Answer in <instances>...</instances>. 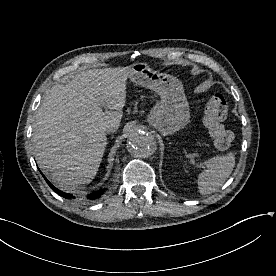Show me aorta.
<instances>
[{"mask_svg": "<svg viewBox=\"0 0 276 276\" xmlns=\"http://www.w3.org/2000/svg\"><path fill=\"white\" fill-rule=\"evenodd\" d=\"M155 137L144 131L134 132L127 141L129 153L136 158H148L156 151Z\"/></svg>", "mask_w": 276, "mask_h": 276, "instance_id": "aorta-1", "label": "aorta"}]
</instances>
